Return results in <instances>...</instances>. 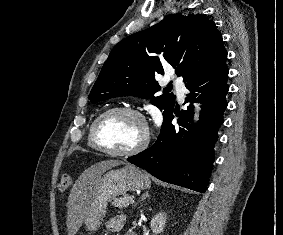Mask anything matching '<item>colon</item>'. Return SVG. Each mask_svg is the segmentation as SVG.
<instances>
[{
    "label": "colon",
    "instance_id": "5ec220e1",
    "mask_svg": "<svg viewBox=\"0 0 283 235\" xmlns=\"http://www.w3.org/2000/svg\"><path fill=\"white\" fill-rule=\"evenodd\" d=\"M71 184V176L67 173L63 174L60 178L59 189L65 191Z\"/></svg>",
    "mask_w": 283,
    "mask_h": 235
}]
</instances>
